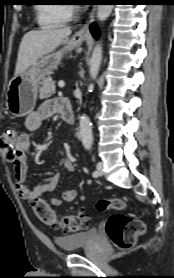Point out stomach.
Segmentation results:
<instances>
[{
  "label": "stomach",
  "mask_w": 174,
  "mask_h": 278,
  "mask_svg": "<svg viewBox=\"0 0 174 278\" xmlns=\"http://www.w3.org/2000/svg\"><path fill=\"white\" fill-rule=\"evenodd\" d=\"M84 40V36L77 34L66 38L58 51L44 55L11 79L7 86L6 107L13 117H22L33 111L40 82L58 67L66 53L80 47Z\"/></svg>",
  "instance_id": "0dacf381"
}]
</instances>
